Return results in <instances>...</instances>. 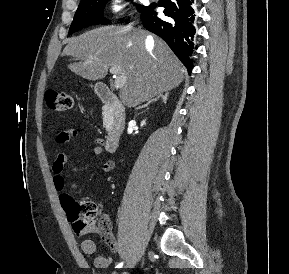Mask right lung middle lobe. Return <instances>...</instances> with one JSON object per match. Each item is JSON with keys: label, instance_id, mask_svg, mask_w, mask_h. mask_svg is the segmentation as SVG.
Returning <instances> with one entry per match:
<instances>
[{"label": "right lung middle lobe", "instance_id": "dd1d6c3e", "mask_svg": "<svg viewBox=\"0 0 289 274\" xmlns=\"http://www.w3.org/2000/svg\"><path fill=\"white\" fill-rule=\"evenodd\" d=\"M107 2L108 0H81L70 26L69 34L90 25L108 24L109 21L103 17V8ZM144 8L141 5L137 6L139 12H142Z\"/></svg>", "mask_w": 289, "mask_h": 274}]
</instances>
